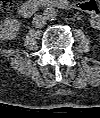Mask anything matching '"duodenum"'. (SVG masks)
Wrapping results in <instances>:
<instances>
[{"label":"duodenum","instance_id":"obj_1","mask_svg":"<svg viewBox=\"0 0 100 118\" xmlns=\"http://www.w3.org/2000/svg\"><path fill=\"white\" fill-rule=\"evenodd\" d=\"M57 7L62 9L72 8L68 0H27L19 7V13L22 16L29 17L41 8Z\"/></svg>","mask_w":100,"mask_h":118}]
</instances>
